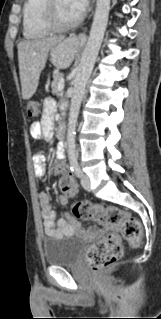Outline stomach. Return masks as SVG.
Segmentation results:
<instances>
[{
    "mask_svg": "<svg viewBox=\"0 0 161 319\" xmlns=\"http://www.w3.org/2000/svg\"><path fill=\"white\" fill-rule=\"evenodd\" d=\"M78 41L74 38L66 39L50 49V61L57 67L62 68L68 66L77 50Z\"/></svg>",
    "mask_w": 161,
    "mask_h": 319,
    "instance_id": "0dacf381",
    "label": "stomach"
}]
</instances>
